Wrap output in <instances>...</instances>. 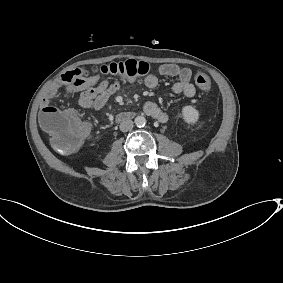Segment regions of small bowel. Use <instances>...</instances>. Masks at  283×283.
Masks as SVG:
<instances>
[{
  "instance_id": "1",
  "label": "small bowel",
  "mask_w": 283,
  "mask_h": 283,
  "mask_svg": "<svg viewBox=\"0 0 283 283\" xmlns=\"http://www.w3.org/2000/svg\"><path fill=\"white\" fill-rule=\"evenodd\" d=\"M159 75L177 79L172 85V91L175 94H183L189 98L196 94V88L191 83L192 72L190 69L181 68L176 64H163L155 73H150L145 77L144 84L148 88L157 87ZM127 81L128 83L133 82V80ZM61 88H64L68 93L79 92V105L88 110L98 111L105 106L110 97L119 91L120 83L118 81H100L97 76L90 75L82 69L66 72L46 90L41 101L42 111L53 107L51 101ZM143 111L160 123H166L169 119L168 114L152 101L144 104Z\"/></svg>"
}]
</instances>
